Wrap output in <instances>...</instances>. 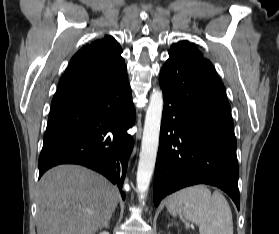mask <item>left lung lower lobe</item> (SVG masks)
<instances>
[{"instance_id": "obj_1", "label": "left lung lower lobe", "mask_w": 279, "mask_h": 234, "mask_svg": "<svg viewBox=\"0 0 279 234\" xmlns=\"http://www.w3.org/2000/svg\"><path fill=\"white\" fill-rule=\"evenodd\" d=\"M159 83L164 97L154 177V204L183 187L224 190L238 210V162L231 108L211 62L171 47Z\"/></svg>"}]
</instances>
